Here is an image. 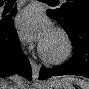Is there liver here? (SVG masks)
Here are the masks:
<instances>
[{
    "instance_id": "1",
    "label": "liver",
    "mask_w": 89,
    "mask_h": 89,
    "mask_svg": "<svg viewBox=\"0 0 89 89\" xmlns=\"http://www.w3.org/2000/svg\"><path fill=\"white\" fill-rule=\"evenodd\" d=\"M18 83H20V81H18ZM1 87H4V86L2 85V82H1ZM2 89H7V88H2Z\"/></svg>"
}]
</instances>
